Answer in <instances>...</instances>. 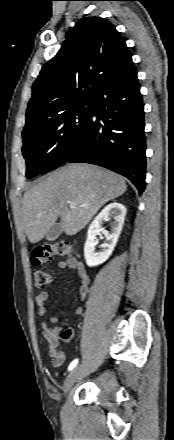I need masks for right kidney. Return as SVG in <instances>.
<instances>
[{
    "mask_svg": "<svg viewBox=\"0 0 174 440\" xmlns=\"http://www.w3.org/2000/svg\"><path fill=\"white\" fill-rule=\"evenodd\" d=\"M125 215V206L121 203L113 202L104 207L91 223L88 228L87 240L84 245V257L86 264L89 267L102 264L111 256L122 231ZM108 219H113L111 233L102 228V223ZM100 232L104 234L106 243L103 246V250L100 253L95 254L93 252L96 245V235Z\"/></svg>",
    "mask_w": 174,
    "mask_h": 440,
    "instance_id": "1",
    "label": "right kidney"
}]
</instances>
